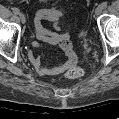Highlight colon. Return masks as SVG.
<instances>
[{
    "mask_svg": "<svg viewBox=\"0 0 119 119\" xmlns=\"http://www.w3.org/2000/svg\"><path fill=\"white\" fill-rule=\"evenodd\" d=\"M84 72L80 67H72L65 71V77L68 79H78L83 76Z\"/></svg>",
    "mask_w": 119,
    "mask_h": 119,
    "instance_id": "obj_1",
    "label": "colon"
}]
</instances>
